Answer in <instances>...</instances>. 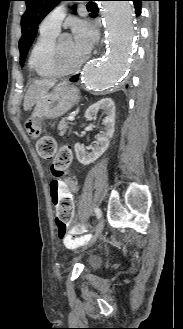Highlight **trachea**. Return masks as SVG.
I'll return each instance as SVG.
<instances>
[{
	"label": "trachea",
	"mask_w": 183,
	"mask_h": 329,
	"mask_svg": "<svg viewBox=\"0 0 183 329\" xmlns=\"http://www.w3.org/2000/svg\"><path fill=\"white\" fill-rule=\"evenodd\" d=\"M93 4L89 3L87 6H92Z\"/></svg>",
	"instance_id": "obj_1"
}]
</instances>
